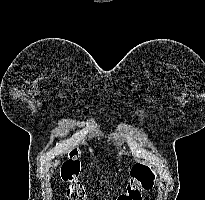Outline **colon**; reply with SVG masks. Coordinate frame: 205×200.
<instances>
[{
	"instance_id": "5ec220e1",
	"label": "colon",
	"mask_w": 205,
	"mask_h": 200,
	"mask_svg": "<svg viewBox=\"0 0 205 200\" xmlns=\"http://www.w3.org/2000/svg\"><path fill=\"white\" fill-rule=\"evenodd\" d=\"M77 151H71L61 167V178L68 183V200H86V190L80 181L81 163ZM155 174L145 164H136L132 167L129 183L125 193L116 200H142L141 192L154 186Z\"/></svg>"
}]
</instances>
